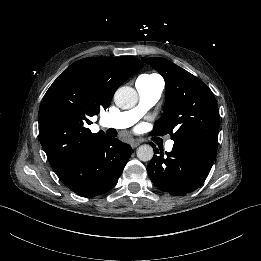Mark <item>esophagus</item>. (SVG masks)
Here are the masks:
<instances>
[{
	"label": "esophagus",
	"mask_w": 261,
	"mask_h": 261,
	"mask_svg": "<svg viewBox=\"0 0 261 261\" xmlns=\"http://www.w3.org/2000/svg\"><path fill=\"white\" fill-rule=\"evenodd\" d=\"M140 143H141V141H139V140H133V141H131V147L132 148H137L139 145H140Z\"/></svg>",
	"instance_id": "34e87169"
}]
</instances>
